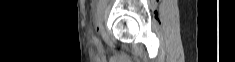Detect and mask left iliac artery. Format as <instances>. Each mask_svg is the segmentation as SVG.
Masks as SVG:
<instances>
[{
	"label": "left iliac artery",
	"instance_id": "1",
	"mask_svg": "<svg viewBox=\"0 0 235 62\" xmlns=\"http://www.w3.org/2000/svg\"><path fill=\"white\" fill-rule=\"evenodd\" d=\"M94 41H95L96 44H98V42H99L96 37H94Z\"/></svg>",
	"mask_w": 235,
	"mask_h": 62
}]
</instances>
